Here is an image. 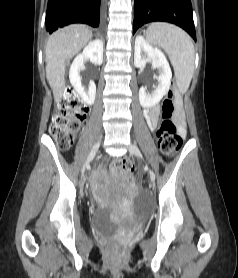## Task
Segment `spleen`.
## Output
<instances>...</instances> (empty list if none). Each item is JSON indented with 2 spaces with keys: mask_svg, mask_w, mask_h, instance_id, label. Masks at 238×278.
I'll return each instance as SVG.
<instances>
[{
  "mask_svg": "<svg viewBox=\"0 0 238 278\" xmlns=\"http://www.w3.org/2000/svg\"><path fill=\"white\" fill-rule=\"evenodd\" d=\"M146 40L168 54L178 89L185 93L194 73L195 50L191 37L175 25L157 22L148 27Z\"/></svg>",
  "mask_w": 238,
  "mask_h": 278,
  "instance_id": "obj_1",
  "label": "spleen"
}]
</instances>
